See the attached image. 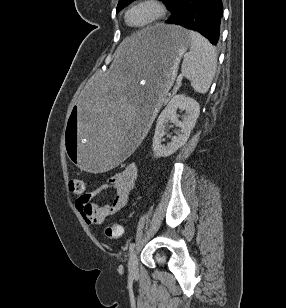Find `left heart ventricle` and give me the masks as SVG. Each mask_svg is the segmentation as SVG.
<instances>
[{"label": "left heart ventricle", "instance_id": "b2bd125f", "mask_svg": "<svg viewBox=\"0 0 286 308\" xmlns=\"http://www.w3.org/2000/svg\"><path fill=\"white\" fill-rule=\"evenodd\" d=\"M156 14L155 9L149 4L139 5L129 13V22L133 25H142L149 22Z\"/></svg>", "mask_w": 286, "mask_h": 308}]
</instances>
